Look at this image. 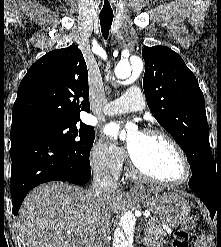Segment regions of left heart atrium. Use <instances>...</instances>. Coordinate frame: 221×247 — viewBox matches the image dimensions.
<instances>
[{
  "label": "left heart atrium",
  "mask_w": 221,
  "mask_h": 247,
  "mask_svg": "<svg viewBox=\"0 0 221 247\" xmlns=\"http://www.w3.org/2000/svg\"><path fill=\"white\" fill-rule=\"evenodd\" d=\"M120 129L121 125L118 122H111L105 126L103 132L105 136L115 140L120 132Z\"/></svg>",
  "instance_id": "1"
}]
</instances>
